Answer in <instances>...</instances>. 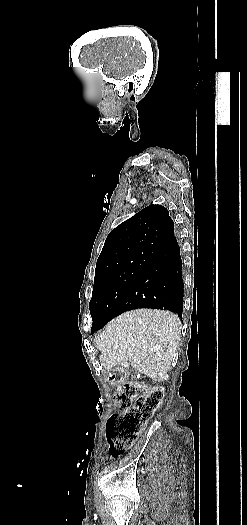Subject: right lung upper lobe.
<instances>
[{
  "instance_id": "cb5924a9",
  "label": "right lung upper lobe",
  "mask_w": 247,
  "mask_h": 525,
  "mask_svg": "<svg viewBox=\"0 0 247 525\" xmlns=\"http://www.w3.org/2000/svg\"><path fill=\"white\" fill-rule=\"evenodd\" d=\"M174 238V223L168 210L151 204L109 233L97 260L96 272L130 267Z\"/></svg>"
}]
</instances>
